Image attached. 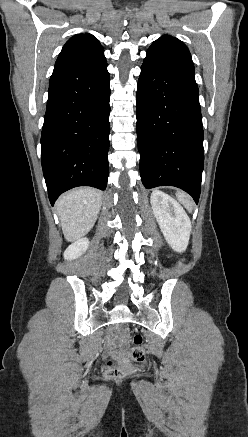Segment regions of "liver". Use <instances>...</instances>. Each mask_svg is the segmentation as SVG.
Segmentation results:
<instances>
[{"label": "liver", "mask_w": 248, "mask_h": 437, "mask_svg": "<svg viewBox=\"0 0 248 437\" xmlns=\"http://www.w3.org/2000/svg\"><path fill=\"white\" fill-rule=\"evenodd\" d=\"M102 205V193L84 187L62 195L56 203L62 232L72 242L85 236L94 226Z\"/></svg>", "instance_id": "liver-1"}]
</instances>
